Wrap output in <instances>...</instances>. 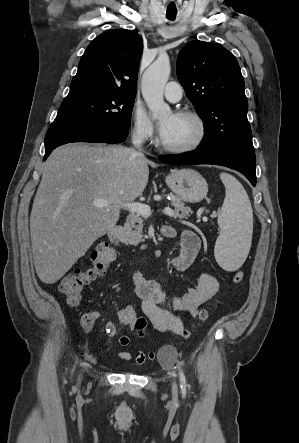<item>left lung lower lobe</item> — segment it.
I'll list each match as a JSON object with an SVG mask.
<instances>
[{
    "instance_id": "obj_1",
    "label": "left lung lower lobe",
    "mask_w": 299,
    "mask_h": 443,
    "mask_svg": "<svg viewBox=\"0 0 299 443\" xmlns=\"http://www.w3.org/2000/svg\"><path fill=\"white\" fill-rule=\"evenodd\" d=\"M158 159L165 164H214L237 170L244 174L253 186L256 185V157L254 152L213 154L199 149L175 155H163Z\"/></svg>"
}]
</instances>
